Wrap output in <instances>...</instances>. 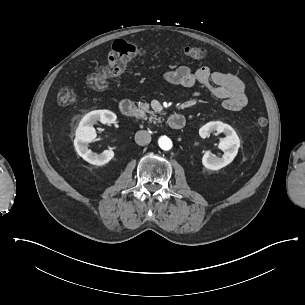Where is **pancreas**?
Returning <instances> with one entry per match:
<instances>
[{
    "label": "pancreas",
    "instance_id": "obj_1",
    "mask_svg": "<svg viewBox=\"0 0 305 305\" xmlns=\"http://www.w3.org/2000/svg\"><path fill=\"white\" fill-rule=\"evenodd\" d=\"M146 113H150L151 117L148 118ZM135 115H136V117L143 118L144 120L149 119V121H152L153 119H156L157 121H154V123H157V122L161 123L162 122L161 119H158L156 112H154L152 110H149V106H148L147 103H141L140 104V109H137V112H136Z\"/></svg>",
    "mask_w": 305,
    "mask_h": 305
}]
</instances>
